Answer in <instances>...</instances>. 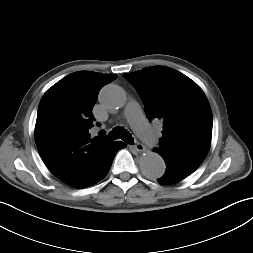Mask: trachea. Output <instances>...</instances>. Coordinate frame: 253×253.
Masks as SVG:
<instances>
[{"instance_id":"obj_1","label":"trachea","mask_w":253,"mask_h":253,"mask_svg":"<svg viewBox=\"0 0 253 253\" xmlns=\"http://www.w3.org/2000/svg\"><path fill=\"white\" fill-rule=\"evenodd\" d=\"M121 138L128 144H133L132 134L123 127H115L111 130L106 138L107 141H112Z\"/></svg>"}]
</instances>
